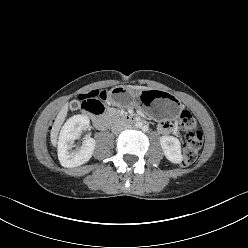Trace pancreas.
Instances as JSON below:
<instances>
[{
    "mask_svg": "<svg viewBox=\"0 0 248 248\" xmlns=\"http://www.w3.org/2000/svg\"><path fill=\"white\" fill-rule=\"evenodd\" d=\"M110 112H111V113H115L116 110H115V109H110Z\"/></svg>",
    "mask_w": 248,
    "mask_h": 248,
    "instance_id": "cf45deb5",
    "label": "pancreas"
}]
</instances>
